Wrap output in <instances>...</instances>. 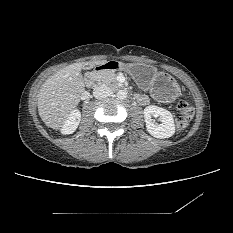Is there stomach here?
<instances>
[{"instance_id":"obj_1","label":"stomach","mask_w":233,"mask_h":233,"mask_svg":"<svg viewBox=\"0 0 233 233\" xmlns=\"http://www.w3.org/2000/svg\"><path fill=\"white\" fill-rule=\"evenodd\" d=\"M138 85L150 91L151 95L162 102L173 101L180 92L176 80L168 73L144 63H130L123 66Z\"/></svg>"}]
</instances>
